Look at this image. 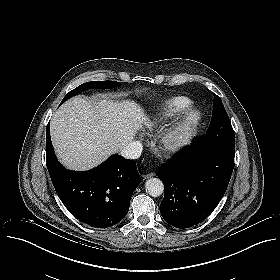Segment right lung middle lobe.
Masks as SVG:
<instances>
[{
  "label": "right lung middle lobe",
  "mask_w": 280,
  "mask_h": 280,
  "mask_svg": "<svg viewBox=\"0 0 280 280\" xmlns=\"http://www.w3.org/2000/svg\"><path fill=\"white\" fill-rule=\"evenodd\" d=\"M119 85H120V83L115 82V81H91V82H87V83L81 84L80 86H78L74 90L67 93L66 96L63 98L61 103L66 101L68 98H70L74 95H77L80 92H83L84 90L93 89V88L111 89V88L117 87Z\"/></svg>",
  "instance_id": "obj_1"
}]
</instances>
